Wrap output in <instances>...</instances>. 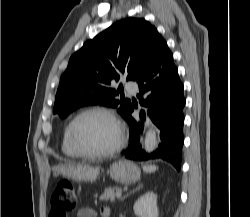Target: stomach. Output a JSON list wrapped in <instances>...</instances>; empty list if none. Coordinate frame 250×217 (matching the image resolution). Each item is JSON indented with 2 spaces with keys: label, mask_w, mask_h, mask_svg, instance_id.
<instances>
[{
  "label": "stomach",
  "mask_w": 250,
  "mask_h": 217,
  "mask_svg": "<svg viewBox=\"0 0 250 217\" xmlns=\"http://www.w3.org/2000/svg\"><path fill=\"white\" fill-rule=\"evenodd\" d=\"M54 174L78 181H95L99 168L83 164H60L54 167ZM140 169L130 161H118L110 166L111 177L120 183L130 184L140 179Z\"/></svg>",
  "instance_id": "obj_1"
}]
</instances>
